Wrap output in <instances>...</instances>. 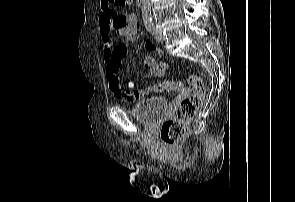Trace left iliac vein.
Returning a JSON list of instances; mask_svg holds the SVG:
<instances>
[{
	"label": "left iliac vein",
	"mask_w": 295,
	"mask_h": 202,
	"mask_svg": "<svg viewBox=\"0 0 295 202\" xmlns=\"http://www.w3.org/2000/svg\"><path fill=\"white\" fill-rule=\"evenodd\" d=\"M151 28H152L155 40L158 41V42H162L163 41V36H162L161 32L155 28L154 24H152Z\"/></svg>",
	"instance_id": "1"
}]
</instances>
